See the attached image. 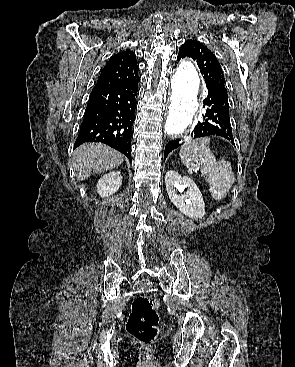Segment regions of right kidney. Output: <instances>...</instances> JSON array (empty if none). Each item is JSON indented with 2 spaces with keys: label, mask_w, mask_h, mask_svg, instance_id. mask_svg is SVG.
Listing matches in <instances>:
<instances>
[{
  "label": "right kidney",
  "mask_w": 295,
  "mask_h": 367,
  "mask_svg": "<svg viewBox=\"0 0 295 367\" xmlns=\"http://www.w3.org/2000/svg\"><path fill=\"white\" fill-rule=\"evenodd\" d=\"M122 184L120 171L110 172L100 178L97 184V192L101 197H106L118 191Z\"/></svg>",
  "instance_id": "1"
}]
</instances>
